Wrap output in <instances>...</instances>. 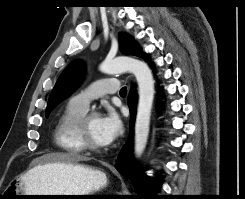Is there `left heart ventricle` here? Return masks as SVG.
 I'll list each match as a JSON object with an SVG mask.
<instances>
[{
	"mask_svg": "<svg viewBox=\"0 0 245 199\" xmlns=\"http://www.w3.org/2000/svg\"><path fill=\"white\" fill-rule=\"evenodd\" d=\"M86 133L89 139L97 144V145H104L102 142L99 131H98V118L96 117H91L87 120L86 122Z\"/></svg>",
	"mask_w": 245,
	"mask_h": 199,
	"instance_id": "b2bd125f",
	"label": "left heart ventricle"
}]
</instances>
